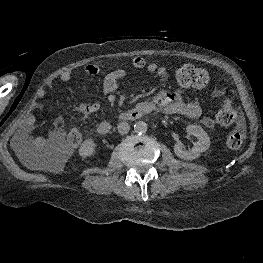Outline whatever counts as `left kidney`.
<instances>
[{
  "label": "left kidney",
  "instance_id": "obj_1",
  "mask_svg": "<svg viewBox=\"0 0 263 263\" xmlns=\"http://www.w3.org/2000/svg\"><path fill=\"white\" fill-rule=\"evenodd\" d=\"M188 135H193L197 138L194 142L191 150L187 151L183 149L181 143L174 145V153L177 157L184 160H193L200 156L201 153L205 152L210 147V138L208 134L198 125H188L186 127Z\"/></svg>",
  "mask_w": 263,
  "mask_h": 263
}]
</instances>
